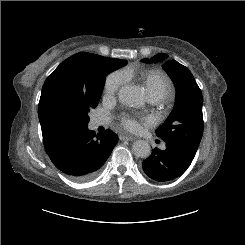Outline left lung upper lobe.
Here are the masks:
<instances>
[{
    "label": "left lung upper lobe",
    "mask_w": 245,
    "mask_h": 245,
    "mask_svg": "<svg viewBox=\"0 0 245 245\" xmlns=\"http://www.w3.org/2000/svg\"><path fill=\"white\" fill-rule=\"evenodd\" d=\"M167 57L157 54L144 62H158ZM172 76L176 89V104L167 120L156 130L164 141L181 142L197 151L203 133L202 93L191 72L175 60L163 65Z\"/></svg>",
    "instance_id": "left-lung-upper-lobe-1"
}]
</instances>
